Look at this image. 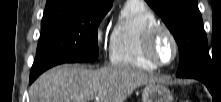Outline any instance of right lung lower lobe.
<instances>
[{"instance_id":"1","label":"right lung lower lobe","mask_w":221,"mask_h":102,"mask_svg":"<svg viewBox=\"0 0 221 102\" xmlns=\"http://www.w3.org/2000/svg\"><path fill=\"white\" fill-rule=\"evenodd\" d=\"M37 77L36 76H30L29 84H31Z\"/></svg>"}]
</instances>
